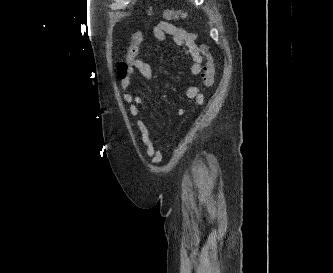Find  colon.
<instances>
[{
  "mask_svg": "<svg viewBox=\"0 0 333 273\" xmlns=\"http://www.w3.org/2000/svg\"><path fill=\"white\" fill-rule=\"evenodd\" d=\"M163 16L167 19H184L187 18V13L182 10H164ZM143 41L142 32L137 29L131 39L130 46L127 50L126 58L119 64V75L122 78L129 67L139 56L141 51ZM200 53L206 58V65L204 68V72L202 73L203 85L205 88H210L215 79L216 68L214 60L207 48L206 45H202L200 47Z\"/></svg>",
  "mask_w": 333,
  "mask_h": 273,
  "instance_id": "1",
  "label": "colon"
}]
</instances>
